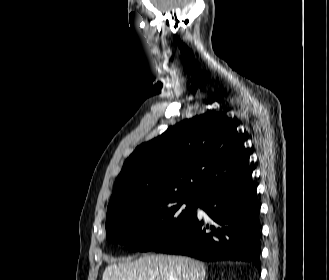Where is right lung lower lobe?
Listing matches in <instances>:
<instances>
[{
    "instance_id": "1",
    "label": "right lung lower lobe",
    "mask_w": 329,
    "mask_h": 280,
    "mask_svg": "<svg viewBox=\"0 0 329 280\" xmlns=\"http://www.w3.org/2000/svg\"><path fill=\"white\" fill-rule=\"evenodd\" d=\"M248 161L213 182L199 197L197 206L210 220L195 213L173 239L154 251L205 261H247L260 270L259 204Z\"/></svg>"
}]
</instances>
